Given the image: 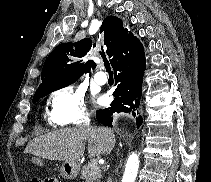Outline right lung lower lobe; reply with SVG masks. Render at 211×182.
<instances>
[{
  "label": "right lung lower lobe",
  "instance_id": "98d812e1",
  "mask_svg": "<svg viewBox=\"0 0 211 182\" xmlns=\"http://www.w3.org/2000/svg\"><path fill=\"white\" fill-rule=\"evenodd\" d=\"M145 68L144 48L141 42L133 36L119 52L113 66L117 84L113 93L115 99L111 103V107L96 111V118L99 122L112 127L114 114L120 112L132 111V115L135 117V111L140 104ZM142 121V116L136 119L137 127L142 124Z\"/></svg>",
  "mask_w": 211,
  "mask_h": 182
}]
</instances>
